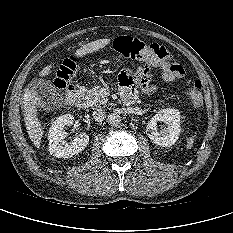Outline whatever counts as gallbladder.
<instances>
[{"instance_id":"gallbladder-1","label":"gallbladder","mask_w":233,"mask_h":233,"mask_svg":"<svg viewBox=\"0 0 233 233\" xmlns=\"http://www.w3.org/2000/svg\"><path fill=\"white\" fill-rule=\"evenodd\" d=\"M31 86L45 107L55 108L59 106V94L49 80L38 79L33 81Z\"/></svg>"}]
</instances>
